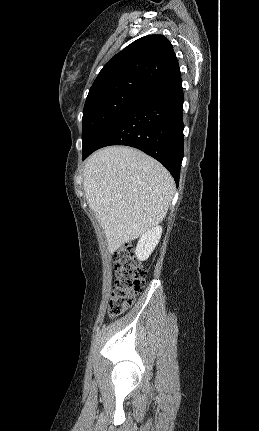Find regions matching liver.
I'll list each match as a JSON object with an SVG mask.
<instances>
[{
    "instance_id": "obj_1",
    "label": "liver",
    "mask_w": 259,
    "mask_h": 431,
    "mask_svg": "<svg viewBox=\"0 0 259 431\" xmlns=\"http://www.w3.org/2000/svg\"><path fill=\"white\" fill-rule=\"evenodd\" d=\"M89 207L103 227L110 253L157 226L175 191L170 173L142 151L111 146L93 153L84 167Z\"/></svg>"
}]
</instances>
